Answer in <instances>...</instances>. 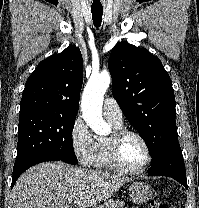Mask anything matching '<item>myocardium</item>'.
Listing matches in <instances>:
<instances>
[{
	"instance_id": "1",
	"label": "myocardium",
	"mask_w": 199,
	"mask_h": 208,
	"mask_svg": "<svg viewBox=\"0 0 199 208\" xmlns=\"http://www.w3.org/2000/svg\"><path fill=\"white\" fill-rule=\"evenodd\" d=\"M129 135L134 136L137 139H139L141 143L143 144L145 151H146L145 161L143 162L141 166L135 169L126 167L123 164L120 158V153H119L120 143L126 136H129ZM107 151H108V157H109L111 164L117 170L126 174H139L143 172L152 161V152L145 137L139 132L132 130V129H128V128H121V129L113 131V133L110 135V137L107 140Z\"/></svg>"
}]
</instances>
